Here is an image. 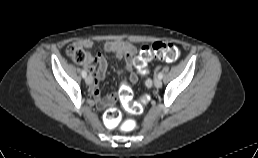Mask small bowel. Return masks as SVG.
I'll use <instances>...</instances> for the list:
<instances>
[{
	"label": "small bowel",
	"instance_id": "small-bowel-1",
	"mask_svg": "<svg viewBox=\"0 0 258 158\" xmlns=\"http://www.w3.org/2000/svg\"><path fill=\"white\" fill-rule=\"evenodd\" d=\"M94 43L91 40H82L76 43V46L81 48H91ZM102 49L105 52H112L117 58H124L125 71L130 73V81L132 83L137 82L138 74L134 69V59L137 55V48L134 44L124 40H110L102 44ZM84 65L90 70L92 85L91 94L101 108H105L111 105L115 101L113 95L103 98L99 91V84L102 81L107 69V60L101 55L97 54L96 63L90 64V62L84 63Z\"/></svg>",
	"mask_w": 258,
	"mask_h": 158
}]
</instances>
